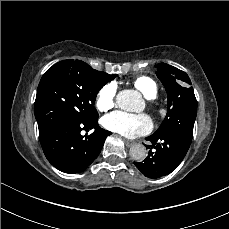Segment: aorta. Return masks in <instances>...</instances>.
<instances>
[{
  "label": "aorta",
  "instance_id": "obj_1",
  "mask_svg": "<svg viewBox=\"0 0 229 229\" xmlns=\"http://www.w3.org/2000/svg\"><path fill=\"white\" fill-rule=\"evenodd\" d=\"M117 106L130 112H139L144 102L139 92L135 90H122L116 96ZM130 156L136 161H142L147 156V149L142 144H135L130 148Z\"/></svg>",
  "mask_w": 229,
  "mask_h": 229
}]
</instances>
